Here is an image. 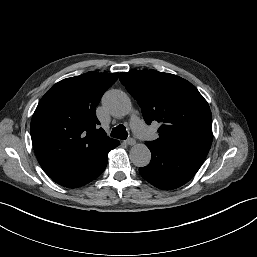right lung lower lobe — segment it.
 I'll return each mask as SVG.
<instances>
[{"label": "right lung lower lobe", "instance_id": "obj_1", "mask_svg": "<svg viewBox=\"0 0 257 257\" xmlns=\"http://www.w3.org/2000/svg\"><path fill=\"white\" fill-rule=\"evenodd\" d=\"M118 145L119 142L115 140L107 151L80 169L77 173L62 175L52 179L59 185L69 188H76L89 183L104 171L108 162V152Z\"/></svg>", "mask_w": 257, "mask_h": 257}]
</instances>
